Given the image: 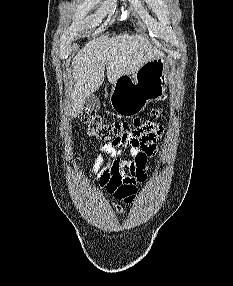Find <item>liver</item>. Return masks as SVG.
Wrapping results in <instances>:
<instances>
[{
    "mask_svg": "<svg viewBox=\"0 0 233 286\" xmlns=\"http://www.w3.org/2000/svg\"><path fill=\"white\" fill-rule=\"evenodd\" d=\"M162 53L140 34L128 33L100 36L79 50L72 62L74 88L71 89V116L84 108L86 97L104 82L106 68L108 81L115 84L124 75L135 74L146 62Z\"/></svg>",
    "mask_w": 233,
    "mask_h": 286,
    "instance_id": "liver-1",
    "label": "liver"
}]
</instances>
